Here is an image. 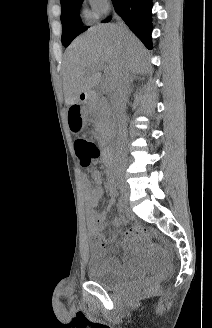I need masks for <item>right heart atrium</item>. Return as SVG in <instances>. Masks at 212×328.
I'll use <instances>...</instances> for the list:
<instances>
[{
  "label": "right heart atrium",
  "mask_w": 212,
  "mask_h": 328,
  "mask_svg": "<svg viewBox=\"0 0 212 328\" xmlns=\"http://www.w3.org/2000/svg\"><path fill=\"white\" fill-rule=\"evenodd\" d=\"M89 10L87 17L91 20H98L106 15L110 9V0H88Z\"/></svg>",
  "instance_id": "d8ad5b80"
}]
</instances>
